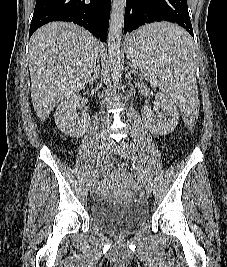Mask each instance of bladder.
Returning <instances> with one entry per match:
<instances>
[{
  "label": "bladder",
  "mask_w": 227,
  "mask_h": 267,
  "mask_svg": "<svg viewBox=\"0 0 227 267\" xmlns=\"http://www.w3.org/2000/svg\"><path fill=\"white\" fill-rule=\"evenodd\" d=\"M93 221L116 235L135 232L148 219L149 211L142 202L113 203L98 200L91 208Z\"/></svg>",
  "instance_id": "bladder-1"
}]
</instances>
